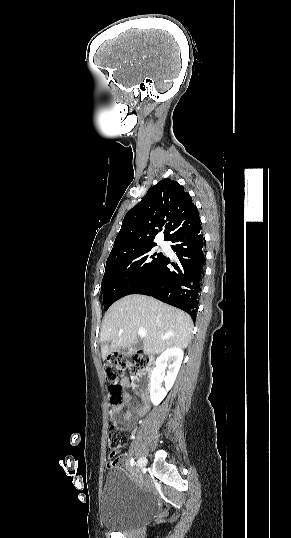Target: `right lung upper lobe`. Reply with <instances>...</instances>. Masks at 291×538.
Masks as SVG:
<instances>
[{
  "mask_svg": "<svg viewBox=\"0 0 291 538\" xmlns=\"http://www.w3.org/2000/svg\"><path fill=\"white\" fill-rule=\"evenodd\" d=\"M199 222L192 197L178 182L163 179L127 212L108 258L156 245L153 240L162 228L170 241Z\"/></svg>",
  "mask_w": 291,
  "mask_h": 538,
  "instance_id": "obj_1",
  "label": "right lung upper lobe"
}]
</instances>
